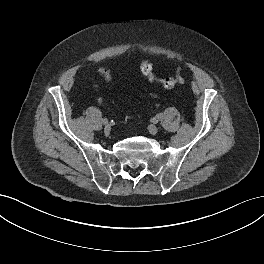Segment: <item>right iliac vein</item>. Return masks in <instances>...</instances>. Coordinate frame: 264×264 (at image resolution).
Returning a JSON list of instances; mask_svg holds the SVG:
<instances>
[{"mask_svg":"<svg viewBox=\"0 0 264 264\" xmlns=\"http://www.w3.org/2000/svg\"><path fill=\"white\" fill-rule=\"evenodd\" d=\"M110 130H111V127H110V125L107 124V125L105 126V128H104V132H105V134L108 135V134L110 133Z\"/></svg>","mask_w":264,"mask_h":264,"instance_id":"63e3f726","label":"right iliac vein"}]
</instances>
